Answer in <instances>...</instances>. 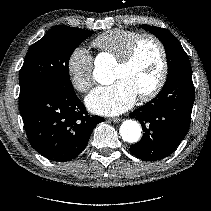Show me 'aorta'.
I'll use <instances>...</instances> for the list:
<instances>
[{"label": "aorta", "instance_id": "obj_1", "mask_svg": "<svg viewBox=\"0 0 211 211\" xmlns=\"http://www.w3.org/2000/svg\"><path fill=\"white\" fill-rule=\"evenodd\" d=\"M95 80L103 85H110L114 81V75L109 66L101 64L100 60H96L94 69ZM141 127L134 120H126L120 127V135L122 139L129 143H136L141 137Z\"/></svg>", "mask_w": 211, "mask_h": 211}]
</instances>
